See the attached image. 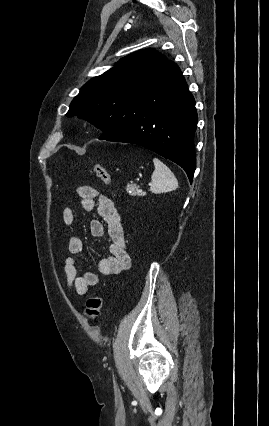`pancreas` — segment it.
I'll return each mask as SVG.
<instances>
[{"mask_svg":"<svg viewBox=\"0 0 269 426\" xmlns=\"http://www.w3.org/2000/svg\"><path fill=\"white\" fill-rule=\"evenodd\" d=\"M126 191L131 195V196H143L144 193L139 192L138 187L135 184H130L126 186Z\"/></svg>","mask_w":269,"mask_h":426,"instance_id":"pancreas-1","label":"pancreas"}]
</instances>
